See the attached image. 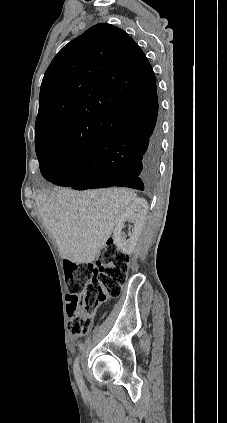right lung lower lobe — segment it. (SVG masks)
<instances>
[{
    "mask_svg": "<svg viewBox=\"0 0 227 423\" xmlns=\"http://www.w3.org/2000/svg\"><path fill=\"white\" fill-rule=\"evenodd\" d=\"M157 88L147 100L116 104L107 114L128 123L124 130L104 134L84 157L64 168L44 163L43 177L77 190L129 187L151 190L157 180L161 151Z\"/></svg>",
    "mask_w": 227,
    "mask_h": 423,
    "instance_id": "right-lung-lower-lobe-1",
    "label": "right lung lower lobe"
}]
</instances>
